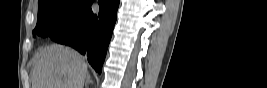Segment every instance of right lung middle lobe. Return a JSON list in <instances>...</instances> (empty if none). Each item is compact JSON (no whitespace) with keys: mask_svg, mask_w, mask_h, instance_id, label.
I'll return each instance as SVG.
<instances>
[{"mask_svg":"<svg viewBox=\"0 0 267 88\" xmlns=\"http://www.w3.org/2000/svg\"><path fill=\"white\" fill-rule=\"evenodd\" d=\"M92 0H40L34 35L53 37L77 22Z\"/></svg>","mask_w":267,"mask_h":88,"instance_id":"1","label":"right lung middle lobe"}]
</instances>
